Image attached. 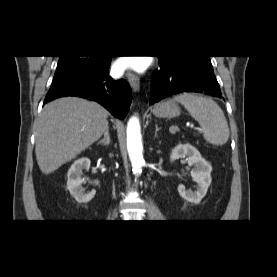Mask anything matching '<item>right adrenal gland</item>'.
<instances>
[{"label":"right adrenal gland","mask_w":277,"mask_h":277,"mask_svg":"<svg viewBox=\"0 0 277 277\" xmlns=\"http://www.w3.org/2000/svg\"><path fill=\"white\" fill-rule=\"evenodd\" d=\"M111 143L109 127L104 132V137L98 142V144H102L104 146H108Z\"/></svg>","instance_id":"obj_1"}]
</instances>
